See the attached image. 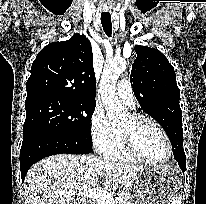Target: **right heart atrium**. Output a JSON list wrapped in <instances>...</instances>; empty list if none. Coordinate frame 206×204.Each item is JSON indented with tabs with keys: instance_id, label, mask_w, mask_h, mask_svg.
Here are the masks:
<instances>
[{
	"instance_id": "1",
	"label": "right heart atrium",
	"mask_w": 206,
	"mask_h": 204,
	"mask_svg": "<svg viewBox=\"0 0 206 204\" xmlns=\"http://www.w3.org/2000/svg\"><path fill=\"white\" fill-rule=\"evenodd\" d=\"M90 135L94 148L100 153L108 147L114 136V125L99 106L94 109L90 118Z\"/></svg>"
}]
</instances>
